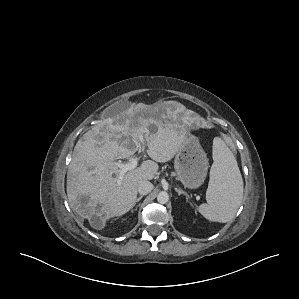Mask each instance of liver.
Listing matches in <instances>:
<instances>
[{
    "mask_svg": "<svg viewBox=\"0 0 299 299\" xmlns=\"http://www.w3.org/2000/svg\"><path fill=\"white\" fill-rule=\"evenodd\" d=\"M172 112L167 106L131 104L113 117L87 131L76 143L67 172V195L72 210L89 220L95 229L105 227L108 219L122 216L134 207L138 182L152 180L157 162L170 161L184 141V134L163 120ZM143 137L146 160L128 171L118 185L115 161L134 155Z\"/></svg>",
    "mask_w": 299,
    "mask_h": 299,
    "instance_id": "obj_1",
    "label": "liver"
}]
</instances>
